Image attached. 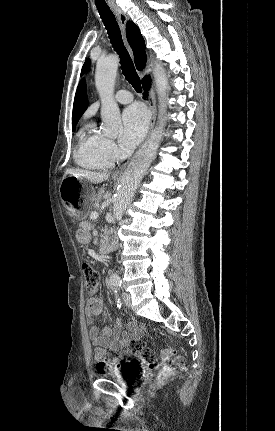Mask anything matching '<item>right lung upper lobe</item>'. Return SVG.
Masks as SVG:
<instances>
[{
	"label": "right lung upper lobe",
	"mask_w": 275,
	"mask_h": 431,
	"mask_svg": "<svg viewBox=\"0 0 275 431\" xmlns=\"http://www.w3.org/2000/svg\"><path fill=\"white\" fill-rule=\"evenodd\" d=\"M127 40L134 52L135 65L138 70H142L146 64V53L144 39L139 28L132 22L126 24ZM88 107L85 81L82 80L77 88L72 114V126L76 125L82 114Z\"/></svg>",
	"instance_id": "cb5924a9"
}]
</instances>
